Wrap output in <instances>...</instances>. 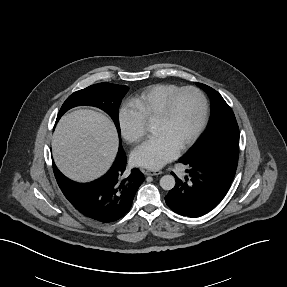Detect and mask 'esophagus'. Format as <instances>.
I'll return each mask as SVG.
<instances>
[{"instance_id":"34e87169","label":"esophagus","mask_w":287,"mask_h":287,"mask_svg":"<svg viewBox=\"0 0 287 287\" xmlns=\"http://www.w3.org/2000/svg\"><path fill=\"white\" fill-rule=\"evenodd\" d=\"M144 173L147 176H154V175L162 174V171H160V170H146Z\"/></svg>"}]
</instances>
